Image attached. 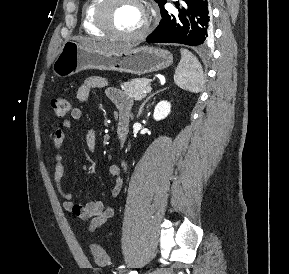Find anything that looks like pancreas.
<instances>
[{
  "instance_id": "cf45deb5",
  "label": "pancreas",
  "mask_w": 289,
  "mask_h": 274,
  "mask_svg": "<svg viewBox=\"0 0 289 274\" xmlns=\"http://www.w3.org/2000/svg\"><path fill=\"white\" fill-rule=\"evenodd\" d=\"M149 86V79H133L120 85L124 94L138 101L146 96V93H143V91Z\"/></svg>"
}]
</instances>
